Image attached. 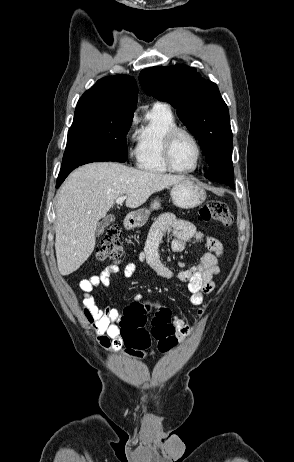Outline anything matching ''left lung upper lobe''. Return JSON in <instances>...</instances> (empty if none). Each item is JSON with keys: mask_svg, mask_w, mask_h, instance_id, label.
Masks as SVG:
<instances>
[{"mask_svg": "<svg viewBox=\"0 0 294 462\" xmlns=\"http://www.w3.org/2000/svg\"><path fill=\"white\" fill-rule=\"evenodd\" d=\"M146 94L170 103L198 139L210 168H230L232 131L229 111L215 83L185 65L152 67L139 75Z\"/></svg>", "mask_w": 294, "mask_h": 462, "instance_id": "obj_1", "label": "left lung upper lobe"}]
</instances>
